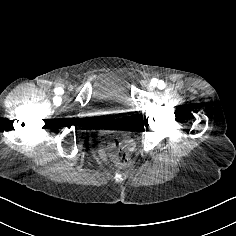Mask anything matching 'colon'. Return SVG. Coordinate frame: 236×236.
<instances>
[{"label": "colon", "mask_w": 236, "mask_h": 236, "mask_svg": "<svg viewBox=\"0 0 236 236\" xmlns=\"http://www.w3.org/2000/svg\"><path fill=\"white\" fill-rule=\"evenodd\" d=\"M107 151L111 160L120 168H126L130 163L127 149L118 141L109 142Z\"/></svg>", "instance_id": "colon-1"}]
</instances>
